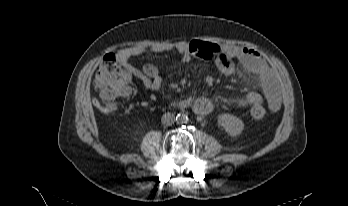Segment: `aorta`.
<instances>
[{"mask_svg": "<svg viewBox=\"0 0 348 206\" xmlns=\"http://www.w3.org/2000/svg\"><path fill=\"white\" fill-rule=\"evenodd\" d=\"M176 120L179 124H185L189 121V117L185 113H180L177 115Z\"/></svg>", "mask_w": 348, "mask_h": 206, "instance_id": "aorta-1", "label": "aorta"}]
</instances>
